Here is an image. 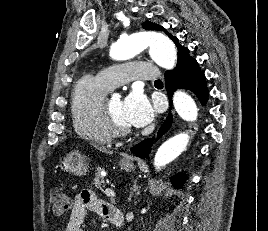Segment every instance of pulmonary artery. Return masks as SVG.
<instances>
[{
    "label": "pulmonary artery",
    "mask_w": 268,
    "mask_h": 231,
    "mask_svg": "<svg viewBox=\"0 0 268 231\" xmlns=\"http://www.w3.org/2000/svg\"><path fill=\"white\" fill-rule=\"evenodd\" d=\"M157 66L144 62H133L127 65H114L98 72L97 77L109 88L127 83L131 79L154 81L159 75Z\"/></svg>",
    "instance_id": "obj_1"
}]
</instances>
